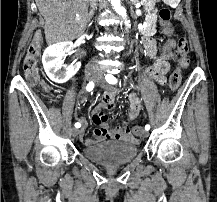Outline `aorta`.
I'll list each match as a JSON object with an SVG mask.
<instances>
[{"label":"aorta","mask_w":217,"mask_h":202,"mask_svg":"<svg viewBox=\"0 0 217 202\" xmlns=\"http://www.w3.org/2000/svg\"><path fill=\"white\" fill-rule=\"evenodd\" d=\"M110 2H111V6H113V10H115V12L119 14V16H122V18H124L125 26H127V28H130L131 26L130 20H127L126 18V10L125 8H123V6H121V0H110Z\"/></svg>","instance_id":"1"}]
</instances>
